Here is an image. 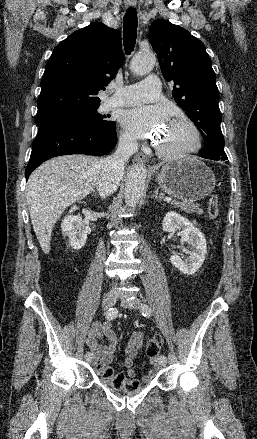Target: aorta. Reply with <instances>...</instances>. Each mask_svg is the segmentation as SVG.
I'll return each instance as SVG.
<instances>
[{
  "instance_id": "obj_1",
  "label": "aorta",
  "mask_w": 257,
  "mask_h": 439,
  "mask_svg": "<svg viewBox=\"0 0 257 439\" xmlns=\"http://www.w3.org/2000/svg\"><path fill=\"white\" fill-rule=\"evenodd\" d=\"M156 62L155 55L148 51L137 54L131 61V70L136 75L149 73ZM146 184V168L143 164H134L127 176L125 185V204L134 207L140 201Z\"/></svg>"
}]
</instances>
